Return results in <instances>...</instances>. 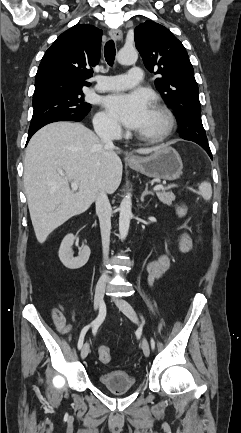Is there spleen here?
<instances>
[{"label":"spleen","instance_id":"1","mask_svg":"<svg viewBox=\"0 0 241 433\" xmlns=\"http://www.w3.org/2000/svg\"><path fill=\"white\" fill-rule=\"evenodd\" d=\"M199 194L206 201L212 197V187L208 181H204L199 185Z\"/></svg>","mask_w":241,"mask_h":433}]
</instances>
